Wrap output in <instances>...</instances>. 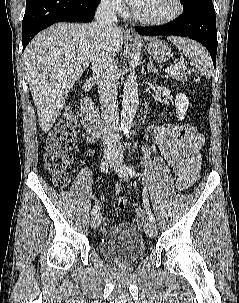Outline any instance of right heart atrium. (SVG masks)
<instances>
[{
    "label": "right heart atrium",
    "instance_id": "obj_1",
    "mask_svg": "<svg viewBox=\"0 0 239 303\" xmlns=\"http://www.w3.org/2000/svg\"><path fill=\"white\" fill-rule=\"evenodd\" d=\"M102 4L104 7L111 11L115 12H123L124 11V6L121 3V0H101Z\"/></svg>",
    "mask_w": 239,
    "mask_h": 303
}]
</instances>
